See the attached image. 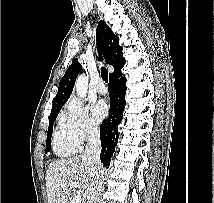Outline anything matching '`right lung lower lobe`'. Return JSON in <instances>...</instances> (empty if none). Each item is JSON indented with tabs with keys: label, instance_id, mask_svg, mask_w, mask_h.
I'll list each match as a JSON object with an SVG mask.
<instances>
[{
	"label": "right lung lower lobe",
	"instance_id": "right-lung-lower-lobe-1",
	"mask_svg": "<svg viewBox=\"0 0 214 203\" xmlns=\"http://www.w3.org/2000/svg\"><path fill=\"white\" fill-rule=\"evenodd\" d=\"M126 79L121 72L110 76L109 78V96H110V114L102 122L100 128V140L102 151L100 154L101 161L104 165L109 166L112 154L115 151V145L118 140V124L122 120V114L125 107V86Z\"/></svg>",
	"mask_w": 214,
	"mask_h": 203
}]
</instances>
